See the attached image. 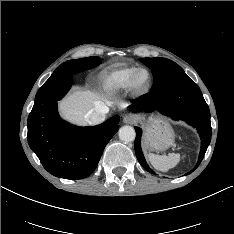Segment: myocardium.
I'll return each mask as SVG.
<instances>
[{
	"instance_id": "1",
	"label": "myocardium",
	"mask_w": 234,
	"mask_h": 234,
	"mask_svg": "<svg viewBox=\"0 0 234 234\" xmlns=\"http://www.w3.org/2000/svg\"><path fill=\"white\" fill-rule=\"evenodd\" d=\"M142 72H146L148 74L149 80H148V83L145 87L140 88L137 85V78H138L139 74ZM152 83H153V76H152V73L150 72V70L147 68H138L130 79V82L128 85V90L134 96L144 95L151 89Z\"/></svg>"
}]
</instances>
